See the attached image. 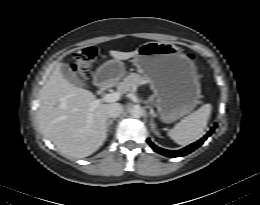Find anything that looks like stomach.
<instances>
[{"label": "stomach", "instance_id": "1", "mask_svg": "<svg viewBox=\"0 0 260 205\" xmlns=\"http://www.w3.org/2000/svg\"><path fill=\"white\" fill-rule=\"evenodd\" d=\"M137 51L134 63L154 93L160 120L169 124L189 114L201 98L195 63L169 42H147ZM124 73L113 59L98 68L96 78L100 84L116 83Z\"/></svg>", "mask_w": 260, "mask_h": 205}]
</instances>
